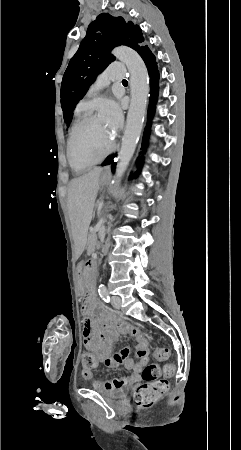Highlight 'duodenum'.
I'll list each match as a JSON object with an SVG mask.
<instances>
[{"mask_svg":"<svg viewBox=\"0 0 241 450\" xmlns=\"http://www.w3.org/2000/svg\"><path fill=\"white\" fill-rule=\"evenodd\" d=\"M87 268V288L89 292H93L95 290V284H96V274H97V268L96 263L94 260H89L86 264Z\"/></svg>","mask_w":241,"mask_h":450,"instance_id":"duodenum-1","label":"duodenum"}]
</instances>
